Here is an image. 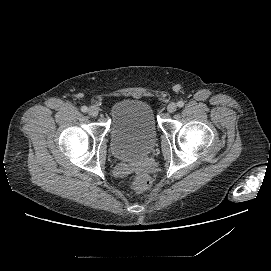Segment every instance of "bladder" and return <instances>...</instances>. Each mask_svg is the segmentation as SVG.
<instances>
[{
	"mask_svg": "<svg viewBox=\"0 0 271 271\" xmlns=\"http://www.w3.org/2000/svg\"><path fill=\"white\" fill-rule=\"evenodd\" d=\"M110 146L115 158L137 161L154 148L157 130L151 106L140 100H122L110 112Z\"/></svg>",
	"mask_w": 271,
	"mask_h": 271,
	"instance_id": "bladder-1",
	"label": "bladder"
}]
</instances>
